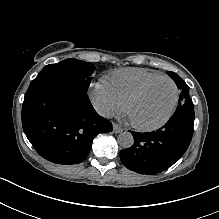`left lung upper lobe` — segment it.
<instances>
[{
    "instance_id": "1",
    "label": "left lung upper lobe",
    "mask_w": 219,
    "mask_h": 219,
    "mask_svg": "<svg viewBox=\"0 0 219 219\" xmlns=\"http://www.w3.org/2000/svg\"><path fill=\"white\" fill-rule=\"evenodd\" d=\"M168 75L174 80L178 89L181 90L179 101H178L179 105L177 106L176 110L182 109V108L183 109L193 108L192 100L189 97L188 86L184 82V80L174 72H168Z\"/></svg>"
}]
</instances>
